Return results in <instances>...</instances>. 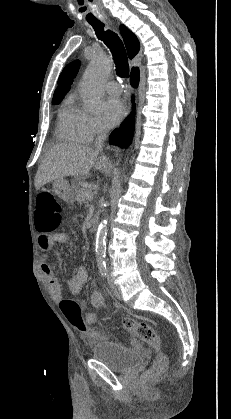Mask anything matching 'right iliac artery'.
<instances>
[{"label": "right iliac artery", "mask_w": 231, "mask_h": 419, "mask_svg": "<svg viewBox=\"0 0 231 419\" xmlns=\"http://www.w3.org/2000/svg\"><path fill=\"white\" fill-rule=\"evenodd\" d=\"M99 271H100V273H101V275L103 277H106V275H107V269H106V265L105 264H100L99 265Z\"/></svg>", "instance_id": "right-iliac-artery-1"}]
</instances>
